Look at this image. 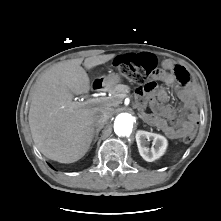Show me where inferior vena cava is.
I'll use <instances>...</instances> for the list:
<instances>
[{"label": "inferior vena cava", "mask_w": 221, "mask_h": 221, "mask_svg": "<svg viewBox=\"0 0 221 221\" xmlns=\"http://www.w3.org/2000/svg\"><path fill=\"white\" fill-rule=\"evenodd\" d=\"M111 117L108 111H101L94 116V124L96 127H103Z\"/></svg>", "instance_id": "obj_1"}]
</instances>
